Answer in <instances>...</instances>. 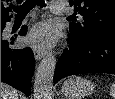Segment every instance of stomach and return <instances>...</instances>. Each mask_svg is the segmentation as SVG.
I'll return each instance as SVG.
<instances>
[{
	"mask_svg": "<svg viewBox=\"0 0 115 99\" xmlns=\"http://www.w3.org/2000/svg\"><path fill=\"white\" fill-rule=\"evenodd\" d=\"M93 90L94 85L91 81L78 76L69 78L62 86V92L68 99H81L92 94Z\"/></svg>",
	"mask_w": 115,
	"mask_h": 99,
	"instance_id": "1",
	"label": "stomach"
}]
</instances>
